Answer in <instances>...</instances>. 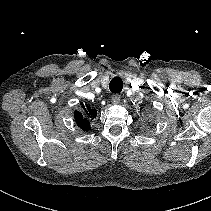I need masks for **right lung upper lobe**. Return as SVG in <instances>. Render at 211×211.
<instances>
[{"mask_svg": "<svg viewBox=\"0 0 211 211\" xmlns=\"http://www.w3.org/2000/svg\"><path fill=\"white\" fill-rule=\"evenodd\" d=\"M86 114L93 119V118H95L97 113H96L95 109H91L90 107H87ZM74 117H75L76 123L78 124V126L81 129H83L85 131L90 129L89 120L87 118H85L86 117L85 115L83 116L82 113L76 111V112H74Z\"/></svg>", "mask_w": 211, "mask_h": 211, "instance_id": "cb5924a9", "label": "right lung upper lobe"}]
</instances>
